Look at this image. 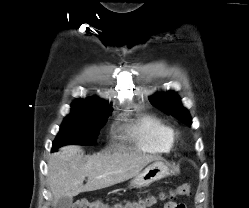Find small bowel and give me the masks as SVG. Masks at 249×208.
Returning a JSON list of instances; mask_svg holds the SVG:
<instances>
[{"label":"small bowel","mask_w":249,"mask_h":208,"mask_svg":"<svg viewBox=\"0 0 249 208\" xmlns=\"http://www.w3.org/2000/svg\"><path fill=\"white\" fill-rule=\"evenodd\" d=\"M180 204L174 200H170L165 204L164 208H180Z\"/></svg>","instance_id":"1"}]
</instances>
